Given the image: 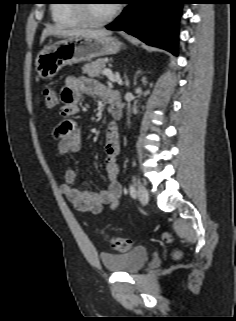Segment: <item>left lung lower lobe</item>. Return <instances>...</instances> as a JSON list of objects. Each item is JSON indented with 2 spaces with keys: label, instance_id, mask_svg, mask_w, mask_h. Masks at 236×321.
Listing matches in <instances>:
<instances>
[{
  "label": "left lung lower lobe",
  "instance_id": "1",
  "mask_svg": "<svg viewBox=\"0 0 236 321\" xmlns=\"http://www.w3.org/2000/svg\"><path fill=\"white\" fill-rule=\"evenodd\" d=\"M123 13L106 28L123 30L148 45L178 53L181 0H127Z\"/></svg>",
  "mask_w": 236,
  "mask_h": 321
}]
</instances>
